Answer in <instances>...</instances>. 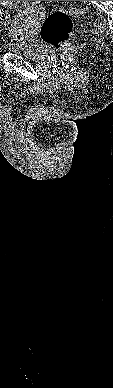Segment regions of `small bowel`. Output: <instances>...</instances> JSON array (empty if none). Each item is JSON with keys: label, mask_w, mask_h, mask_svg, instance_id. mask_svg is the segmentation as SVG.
<instances>
[{"label": "small bowel", "mask_w": 113, "mask_h": 388, "mask_svg": "<svg viewBox=\"0 0 113 388\" xmlns=\"http://www.w3.org/2000/svg\"><path fill=\"white\" fill-rule=\"evenodd\" d=\"M22 1H0V7H7L12 11H17V16L15 18L13 32H15V25L18 21L29 20L31 18H35L33 16L37 15L38 19L42 17V9L35 7V1H25L28 2L27 6L23 7L20 4ZM22 18V19H21Z\"/></svg>", "instance_id": "small-bowel-1"}]
</instances>
